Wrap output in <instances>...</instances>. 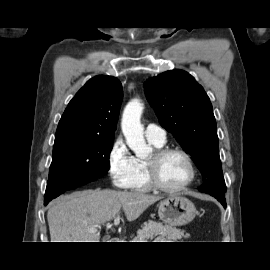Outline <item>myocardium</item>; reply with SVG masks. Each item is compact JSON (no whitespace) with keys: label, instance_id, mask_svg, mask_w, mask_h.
I'll return each instance as SVG.
<instances>
[{"label":"myocardium","instance_id":"f54148a6","mask_svg":"<svg viewBox=\"0 0 270 270\" xmlns=\"http://www.w3.org/2000/svg\"><path fill=\"white\" fill-rule=\"evenodd\" d=\"M177 153L183 156L186 160L189 168V177L181 185L177 187H168L161 183L158 177L157 165L158 162L168 154ZM146 173L150 186L158 191L164 193H179L187 189L196 178V167L191 155L184 149L180 147H161L157 148L150 158L146 160Z\"/></svg>","mask_w":270,"mask_h":270}]
</instances>
